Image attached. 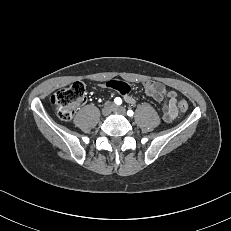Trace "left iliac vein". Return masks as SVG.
Instances as JSON below:
<instances>
[{"instance_id":"left-iliac-vein-1","label":"left iliac vein","mask_w":231,"mask_h":231,"mask_svg":"<svg viewBox=\"0 0 231 231\" xmlns=\"http://www.w3.org/2000/svg\"><path fill=\"white\" fill-rule=\"evenodd\" d=\"M113 111L117 114L125 115L126 114V109L121 106H114Z\"/></svg>"}]
</instances>
